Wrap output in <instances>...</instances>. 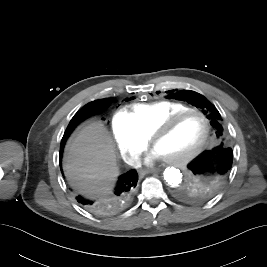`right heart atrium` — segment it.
I'll use <instances>...</instances> for the list:
<instances>
[{"label": "right heart atrium", "instance_id": "d8ad5b80", "mask_svg": "<svg viewBox=\"0 0 267 267\" xmlns=\"http://www.w3.org/2000/svg\"><path fill=\"white\" fill-rule=\"evenodd\" d=\"M113 138L123 159L131 165L139 160L147 145L144 138L133 126L124 111H118L111 118Z\"/></svg>", "mask_w": 267, "mask_h": 267}]
</instances>
